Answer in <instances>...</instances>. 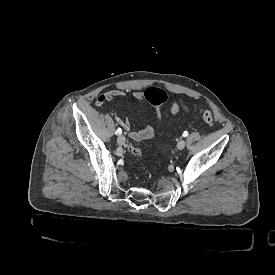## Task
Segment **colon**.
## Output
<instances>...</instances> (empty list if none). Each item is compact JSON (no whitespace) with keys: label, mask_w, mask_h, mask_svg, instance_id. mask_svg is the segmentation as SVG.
<instances>
[{"label":"colon","mask_w":275,"mask_h":275,"mask_svg":"<svg viewBox=\"0 0 275 275\" xmlns=\"http://www.w3.org/2000/svg\"><path fill=\"white\" fill-rule=\"evenodd\" d=\"M146 98L155 104H160L166 99V94L164 92H160L155 87H150L146 90ZM197 112L209 127H214L215 119L209 110L198 108ZM129 152L133 157L140 159V149L136 144L130 145Z\"/></svg>","instance_id":"5ec220e1"}]
</instances>
